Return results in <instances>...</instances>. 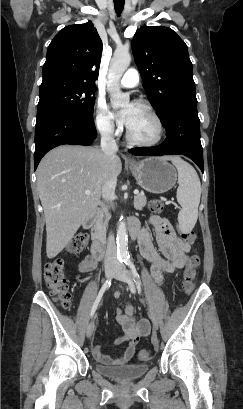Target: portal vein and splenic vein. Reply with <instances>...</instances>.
<instances>
[{
    "label": "portal vein and splenic vein",
    "instance_id": "obj_1",
    "mask_svg": "<svg viewBox=\"0 0 243 409\" xmlns=\"http://www.w3.org/2000/svg\"><path fill=\"white\" fill-rule=\"evenodd\" d=\"M90 193H91L90 190H86V191H85V194H87V195H89ZM134 194L137 195V194H138V191L135 190V191H134Z\"/></svg>",
    "mask_w": 243,
    "mask_h": 409
}]
</instances>
